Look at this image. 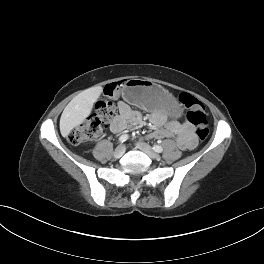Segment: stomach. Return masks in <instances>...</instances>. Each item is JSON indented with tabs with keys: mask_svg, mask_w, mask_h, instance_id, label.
<instances>
[{
	"mask_svg": "<svg viewBox=\"0 0 264 264\" xmlns=\"http://www.w3.org/2000/svg\"><path fill=\"white\" fill-rule=\"evenodd\" d=\"M126 101L145 110H163L169 117L180 113V106L173 96L161 86L143 79H130L123 90Z\"/></svg>",
	"mask_w": 264,
	"mask_h": 264,
	"instance_id": "obj_1",
	"label": "stomach"
}]
</instances>
